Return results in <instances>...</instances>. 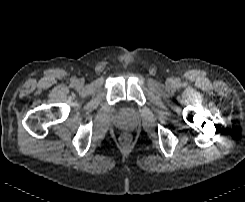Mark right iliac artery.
I'll list each match as a JSON object with an SVG mask.
<instances>
[{
	"instance_id": "obj_1",
	"label": "right iliac artery",
	"mask_w": 245,
	"mask_h": 202,
	"mask_svg": "<svg viewBox=\"0 0 245 202\" xmlns=\"http://www.w3.org/2000/svg\"><path fill=\"white\" fill-rule=\"evenodd\" d=\"M71 80H72V82H73V83H75V81H76V79H75V78H72Z\"/></svg>"
}]
</instances>
